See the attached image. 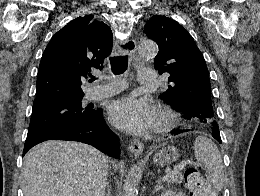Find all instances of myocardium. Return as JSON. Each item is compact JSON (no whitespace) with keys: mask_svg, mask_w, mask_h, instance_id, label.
<instances>
[{"mask_svg":"<svg viewBox=\"0 0 260 196\" xmlns=\"http://www.w3.org/2000/svg\"><path fill=\"white\" fill-rule=\"evenodd\" d=\"M177 124L176 116L164 106L157 109L156 122L154 125V133L163 134L168 132Z\"/></svg>","mask_w":260,"mask_h":196,"instance_id":"f54148a6","label":"myocardium"}]
</instances>
